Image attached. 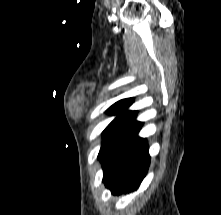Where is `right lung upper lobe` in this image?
<instances>
[{
  "label": "right lung upper lobe",
  "instance_id": "right-lung-upper-lobe-1",
  "mask_svg": "<svg viewBox=\"0 0 221 215\" xmlns=\"http://www.w3.org/2000/svg\"><path fill=\"white\" fill-rule=\"evenodd\" d=\"M132 102H133L132 98H127V99H122L116 102L114 105L122 106V107H129L132 104Z\"/></svg>",
  "mask_w": 221,
  "mask_h": 215
}]
</instances>
